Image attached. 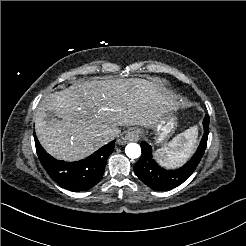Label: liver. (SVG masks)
I'll return each mask as SVG.
<instances>
[{
	"label": "liver",
	"mask_w": 246,
	"mask_h": 246,
	"mask_svg": "<svg viewBox=\"0 0 246 246\" xmlns=\"http://www.w3.org/2000/svg\"><path fill=\"white\" fill-rule=\"evenodd\" d=\"M162 102L157 87L139 79L77 82L37 111L36 134L49 154L79 160L111 141L118 126H153ZM46 111L54 117L47 120Z\"/></svg>",
	"instance_id": "6515ba94"
}]
</instances>
